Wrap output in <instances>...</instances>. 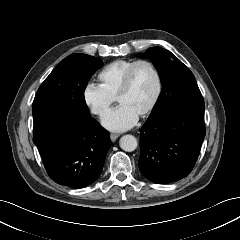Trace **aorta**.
<instances>
[{"label":"aorta","mask_w":240,"mask_h":240,"mask_svg":"<svg viewBox=\"0 0 240 240\" xmlns=\"http://www.w3.org/2000/svg\"><path fill=\"white\" fill-rule=\"evenodd\" d=\"M120 147L126 152H132L137 148V139L133 135H124L119 141Z\"/></svg>","instance_id":"aorta-1"}]
</instances>
